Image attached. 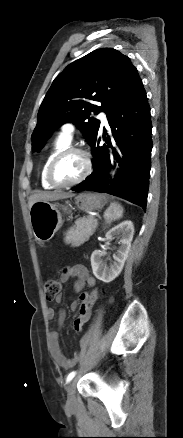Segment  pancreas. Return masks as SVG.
Wrapping results in <instances>:
<instances>
[{
	"label": "pancreas",
	"instance_id": "pancreas-1",
	"mask_svg": "<svg viewBox=\"0 0 183 438\" xmlns=\"http://www.w3.org/2000/svg\"><path fill=\"white\" fill-rule=\"evenodd\" d=\"M76 229L70 228L64 241L72 247H78L89 240L98 226L97 219L92 216L80 218L76 222Z\"/></svg>",
	"mask_w": 183,
	"mask_h": 438
}]
</instances>
